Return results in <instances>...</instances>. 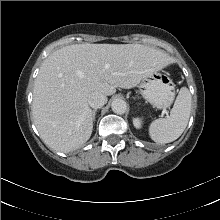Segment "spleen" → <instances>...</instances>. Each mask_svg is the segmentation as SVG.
Wrapping results in <instances>:
<instances>
[{
  "label": "spleen",
  "instance_id": "3e777b00",
  "mask_svg": "<svg viewBox=\"0 0 220 220\" xmlns=\"http://www.w3.org/2000/svg\"><path fill=\"white\" fill-rule=\"evenodd\" d=\"M192 97L186 87H182L175 100L170 116L156 119L149 126V135L159 144L170 143L178 139L185 130L190 113Z\"/></svg>",
  "mask_w": 220,
  "mask_h": 220
}]
</instances>
